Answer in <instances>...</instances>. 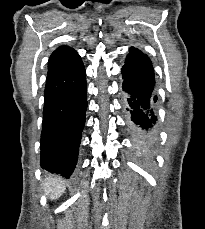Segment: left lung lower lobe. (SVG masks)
Wrapping results in <instances>:
<instances>
[{
  "mask_svg": "<svg viewBox=\"0 0 205 229\" xmlns=\"http://www.w3.org/2000/svg\"><path fill=\"white\" fill-rule=\"evenodd\" d=\"M121 74L122 103L127 128L137 150L149 155L153 152L157 139V96L152 62L139 49L131 47Z\"/></svg>",
  "mask_w": 205,
  "mask_h": 229,
  "instance_id": "left-lung-lower-lobe-1",
  "label": "left lung lower lobe"
}]
</instances>
